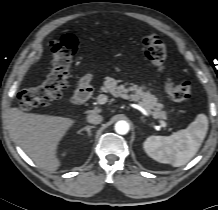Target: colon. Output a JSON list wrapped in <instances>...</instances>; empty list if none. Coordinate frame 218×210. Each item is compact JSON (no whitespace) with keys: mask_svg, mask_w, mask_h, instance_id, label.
Masks as SVG:
<instances>
[{"mask_svg":"<svg viewBox=\"0 0 218 210\" xmlns=\"http://www.w3.org/2000/svg\"><path fill=\"white\" fill-rule=\"evenodd\" d=\"M78 44V39L73 35H65L61 38L54 50L55 60L51 72L41 84L26 89L20 94L23 105L44 106L62 96L68 86L71 63ZM143 44L145 58L158 72H163L167 54L164 42L157 35L149 34L144 38ZM164 88L175 101L182 102L191 98V84L188 81L175 84L167 79Z\"/></svg>","mask_w":218,"mask_h":210,"instance_id":"5ec220e1","label":"colon"}]
</instances>
